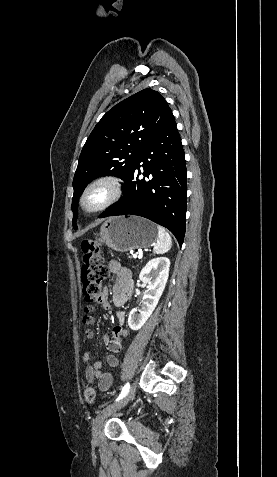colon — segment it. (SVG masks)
Segmentation results:
<instances>
[{
	"label": "colon",
	"mask_w": 277,
	"mask_h": 477,
	"mask_svg": "<svg viewBox=\"0 0 277 477\" xmlns=\"http://www.w3.org/2000/svg\"><path fill=\"white\" fill-rule=\"evenodd\" d=\"M81 249L83 252L81 282L83 295L87 303L84 309L85 316L83 322L89 325L93 323L91 313L94 310V304L100 301L103 293V281L108 276L109 271L103 263L99 242L85 239L81 243ZM86 335L90 337L91 332L88 331ZM84 397L87 403H93L96 398L94 388H86Z\"/></svg>",
	"instance_id": "5ec220e1"
}]
</instances>
